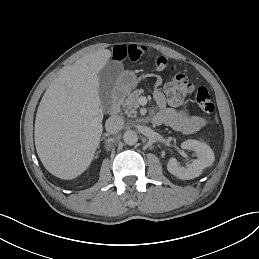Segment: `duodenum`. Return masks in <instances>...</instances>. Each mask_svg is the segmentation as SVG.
Returning a JSON list of instances; mask_svg holds the SVG:
<instances>
[{
	"label": "duodenum",
	"instance_id": "obj_1",
	"mask_svg": "<svg viewBox=\"0 0 259 259\" xmlns=\"http://www.w3.org/2000/svg\"><path fill=\"white\" fill-rule=\"evenodd\" d=\"M126 90L123 87H117L112 93L111 103L109 105V112L115 114L119 111L121 101L125 96Z\"/></svg>",
	"mask_w": 259,
	"mask_h": 259
}]
</instances>
